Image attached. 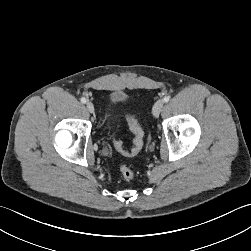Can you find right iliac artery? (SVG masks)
Here are the masks:
<instances>
[{"label": "right iliac artery", "mask_w": 251, "mask_h": 251, "mask_svg": "<svg viewBox=\"0 0 251 251\" xmlns=\"http://www.w3.org/2000/svg\"><path fill=\"white\" fill-rule=\"evenodd\" d=\"M81 102L85 104L86 103V99L85 98H81Z\"/></svg>", "instance_id": "1"}]
</instances>
